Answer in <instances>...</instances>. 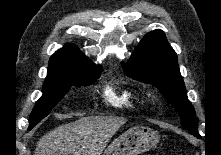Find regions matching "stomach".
I'll return each instance as SVG.
<instances>
[{
	"mask_svg": "<svg viewBox=\"0 0 221 155\" xmlns=\"http://www.w3.org/2000/svg\"><path fill=\"white\" fill-rule=\"evenodd\" d=\"M158 133L148 127L136 126L114 140L103 155H140L157 146Z\"/></svg>",
	"mask_w": 221,
	"mask_h": 155,
	"instance_id": "obj_1",
	"label": "stomach"
}]
</instances>
